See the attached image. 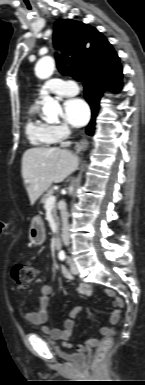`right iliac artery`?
Instances as JSON below:
<instances>
[{
	"label": "right iliac artery",
	"mask_w": 145,
	"mask_h": 385,
	"mask_svg": "<svg viewBox=\"0 0 145 385\" xmlns=\"http://www.w3.org/2000/svg\"><path fill=\"white\" fill-rule=\"evenodd\" d=\"M59 259L62 260V261H64V260L66 259V254H65L64 251H61V252L59 253Z\"/></svg>",
	"instance_id": "right-iliac-artery-1"
}]
</instances>
